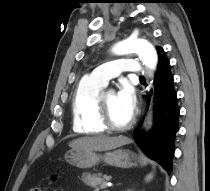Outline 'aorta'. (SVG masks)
Here are the masks:
<instances>
[{"mask_svg":"<svg viewBox=\"0 0 210 191\" xmlns=\"http://www.w3.org/2000/svg\"><path fill=\"white\" fill-rule=\"evenodd\" d=\"M112 52L116 55L136 53L143 64L150 70H155L158 63V55L151 43L144 39L127 38L117 43Z\"/></svg>","mask_w":210,"mask_h":191,"instance_id":"762f6f07","label":"aorta"}]
</instances>
